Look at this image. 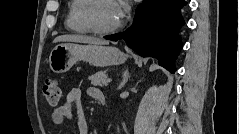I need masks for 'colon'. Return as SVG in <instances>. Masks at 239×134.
I'll return each instance as SVG.
<instances>
[{
	"label": "colon",
	"mask_w": 239,
	"mask_h": 134,
	"mask_svg": "<svg viewBox=\"0 0 239 134\" xmlns=\"http://www.w3.org/2000/svg\"><path fill=\"white\" fill-rule=\"evenodd\" d=\"M43 94L48 104L55 106L60 101V87L54 80H47L43 85Z\"/></svg>",
	"instance_id": "5ec220e1"
}]
</instances>
